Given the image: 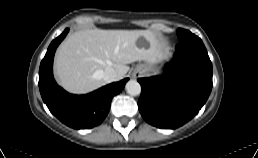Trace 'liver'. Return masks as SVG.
I'll list each match as a JSON object with an SVG mask.
<instances>
[{"label":"liver","mask_w":258,"mask_h":158,"mask_svg":"<svg viewBox=\"0 0 258 158\" xmlns=\"http://www.w3.org/2000/svg\"><path fill=\"white\" fill-rule=\"evenodd\" d=\"M162 44L151 30H81L68 36L59 46L55 74L62 87L84 94L104 86L103 71L113 68L122 79L127 64L144 61L155 64Z\"/></svg>","instance_id":"6515ba94"}]
</instances>
